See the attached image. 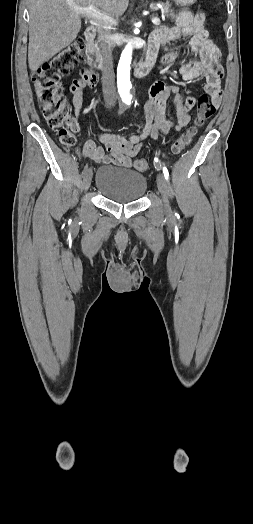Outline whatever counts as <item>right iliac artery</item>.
<instances>
[{
	"label": "right iliac artery",
	"mask_w": 253,
	"mask_h": 524,
	"mask_svg": "<svg viewBox=\"0 0 253 524\" xmlns=\"http://www.w3.org/2000/svg\"><path fill=\"white\" fill-rule=\"evenodd\" d=\"M125 108L123 106H120L118 114H122L124 112ZM88 169V164L84 166V169L82 171V176L84 177L86 170Z\"/></svg>",
	"instance_id": "1"
}]
</instances>
